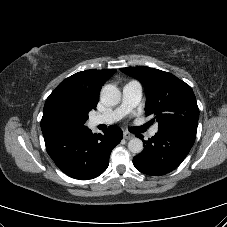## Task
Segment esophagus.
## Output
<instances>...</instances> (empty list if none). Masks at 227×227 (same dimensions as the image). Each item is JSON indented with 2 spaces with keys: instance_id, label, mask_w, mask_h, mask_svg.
I'll return each instance as SVG.
<instances>
[{
  "instance_id": "34e87169",
  "label": "esophagus",
  "mask_w": 227,
  "mask_h": 227,
  "mask_svg": "<svg viewBox=\"0 0 227 227\" xmlns=\"http://www.w3.org/2000/svg\"><path fill=\"white\" fill-rule=\"evenodd\" d=\"M123 137H124V139H126V140H130V139L134 138V135L131 134V133H129V132H124V133H123Z\"/></svg>"
}]
</instances>
